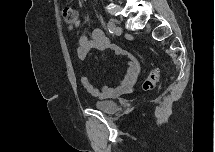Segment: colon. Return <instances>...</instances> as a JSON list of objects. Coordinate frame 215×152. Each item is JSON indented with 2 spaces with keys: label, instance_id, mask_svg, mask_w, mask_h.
<instances>
[{
  "label": "colon",
  "instance_id": "obj_1",
  "mask_svg": "<svg viewBox=\"0 0 215 152\" xmlns=\"http://www.w3.org/2000/svg\"><path fill=\"white\" fill-rule=\"evenodd\" d=\"M63 20L69 28H73L78 23V14L72 7L66 6L62 12ZM160 73L157 67L152 68L148 76L144 79L141 90L150 91L154 89L159 81Z\"/></svg>",
  "mask_w": 215,
  "mask_h": 152
}]
</instances>
